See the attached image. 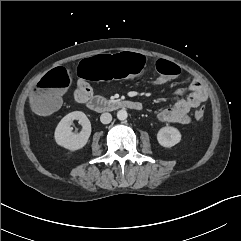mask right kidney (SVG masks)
Listing matches in <instances>:
<instances>
[{"label": "right kidney", "instance_id": "1", "mask_svg": "<svg viewBox=\"0 0 241 241\" xmlns=\"http://www.w3.org/2000/svg\"><path fill=\"white\" fill-rule=\"evenodd\" d=\"M74 120H78L82 131L78 134L72 132L70 127ZM91 134V123L87 116L81 111H74L67 114L55 129L56 143L70 151L82 149L88 142Z\"/></svg>", "mask_w": 241, "mask_h": 241}]
</instances>
